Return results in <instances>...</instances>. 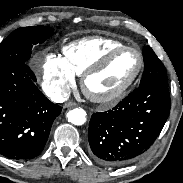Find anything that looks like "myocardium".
I'll use <instances>...</instances> for the list:
<instances>
[{"mask_svg":"<svg viewBox=\"0 0 183 183\" xmlns=\"http://www.w3.org/2000/svg\"><path fill=\"white\" fill-rule=\"evenodd\" d=\"M124 51H133L139 57V66H138V69H137L136 73L134 74V76L121 89H119L118 91H116L112 94H109L106 96H99V95H96V94H93L92 92H90L87 88L88 80L93 75L105 70L108 67V65L111 63L113 58L117 54L124 52ZM144 65H145V59H144V55L140 49H138L136 47H132V46H126V45L115 47V48L109 50L107 53H105L96 63L91 65L81 75V81H80L81 90H82L83 94L92 102L100 103V104L115 103V102L123 99L127 95V93L131 90V88L135 85V83L138 81L139 77L142 74Z\"/></svg>","mask_w":183,"mask_h":183,"instance_id":"obj_1","label":"myocardium"}]
</instances>
